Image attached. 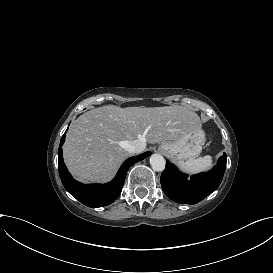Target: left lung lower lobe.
<instances>
[{"label": "left lung lower lobe", "instance_id": "obj_1", "mask_svg": "<svg viewBox=\"0 0 273 273\" xmlns=\"http://www.w3.org/2000/svg\"><path fill=\"white\" fill-rule=\"evenodd\" d=\"M226 158L224 153L213 170L193 175L190 179H187V175L180 173L173 164L167 162L161 174L163 192L177 203L200 202L220 185L226 168Z\"/></svg>", "mask_w": 273, "mask_h": 273}]
</instances>
